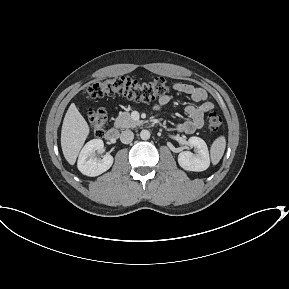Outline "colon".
Listing matches in <instances>:
<instances>
[{"instance_id":"5ec220e1","label":"colon","mask_w":289,"mask_h":289,"mask_svg":"<svg viewBox=\"0 0 289 289\" xmlns=\"http://www.w3.org/2000/svg\"><path fill=\"white\" fill-rule=\"evenodd\" d=\"M170 90L168 81L163 77H156L151 81L140 82L129 77L119 76L102 81L89 83L85 87V94L91 98H101L111 95H122L141 102H151L166 95ZM90 127L95 136L101 137L107 126V115L103 109H91L88 112ZM222 124V117L215 111L207 115V126L211 131H217Z\"/></svg>"}]
</instances>
